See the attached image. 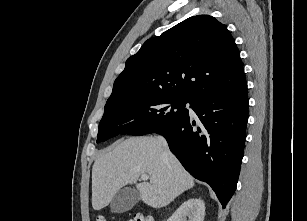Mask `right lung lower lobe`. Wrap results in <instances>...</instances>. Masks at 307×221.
Segmentation results:
<instances>
[{"label": "right lung lower lobe", "mask_w": 307, "mask_h": 221, "mask_svg": "<svg viewBox=\"0 0 307 221\" xmlns=\"http://www.w3.org/2000/svg\"><path fill=\"white\" fill-rule=\"evenodd\" d=\"M247 84L239 90L192 102V116L156 131L195 178L208 183L223 208L232 197L244 154L248 121Z\"/></svg>", "instance_id": "right-lung-lower-lobe-1"}]
</instances>
